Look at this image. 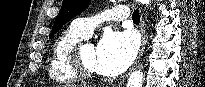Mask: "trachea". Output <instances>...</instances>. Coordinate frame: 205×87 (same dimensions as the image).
Wrapping results in <instances>:
<instances>
[{"label":"trachea","mask_w":205,"mask_h":87,"mask_svg":"<svg viewBox=\"0 0 205 87\" xmlns=\"http://www.w3.org/2000/svg\"><path fill=\"white\" fill-rule=\"evenodd\" d=\"M132 19L134 22H140V15H139V10L136 9L134 10L133 14H132Z\"/></svg>","instance_id":"obj_1"}]
</instances>
